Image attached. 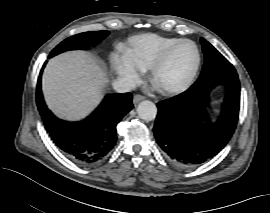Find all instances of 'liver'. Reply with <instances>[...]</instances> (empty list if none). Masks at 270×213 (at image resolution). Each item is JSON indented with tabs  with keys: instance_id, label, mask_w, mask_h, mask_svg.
<instances>
[{
	"instance_id": "6515ba94",
	"label": "liver",
	"mask_w": 270,
	"mask_h": 213,
	"mask_svg": "<svg viewBox=\"0 0 270 213\" xmlns=\"http://www.w3.org/2000/svg\"><path fill=\"white\" fill-rule=\"evenodd\" d=\"M106 81L104 72L90 55L70 51L49 61L42 88L48 107L56 115L77 120L98 105Z\"/></svg>"
}]
</instances>
